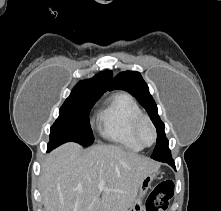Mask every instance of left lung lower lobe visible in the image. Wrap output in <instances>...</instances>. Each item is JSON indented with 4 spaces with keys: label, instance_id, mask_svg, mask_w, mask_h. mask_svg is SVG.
<instances>
[{
    "label": "left lung lower lobe",
    "instance_id": "0a47b994",
    "mask_svg": "<svg viewBox=\"0 0 221 211\" xmlns=\"http://www.w3.org/2000/svg\"><path fill=\"white\" fill-rule=\"evenodd\" d=\"M161 162L168 163V164L171 165L172 167H175L174 161H173L172 157L164 158V159L161 160Z\"/></svg>",
    "mask_w": 221,
    "mask_h": 211
}]
</instances>
